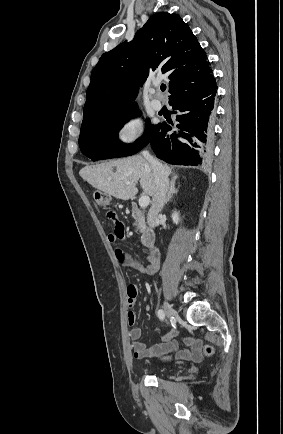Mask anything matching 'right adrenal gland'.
Returning <instances> with one entry per match:
<instances>
[{"label": "right adrenal gland", "mask_w": 283, "mask_h": 434, "mask_svg": "<svg viewBox=\"0 0 283 434\" xmlns=\"http://www.w3.org/2000/svg\"><path fill=\"white\" fill-rule=\"evenodd\" d=\"M177 179H178L177 175H174L171 179L170 188H169L166 200H165V205L170 201L172 196L178 192V189L175 188V182Z\"/></svg>", "instance_id": "right-adrenal-gland-1"}]
</instances>
